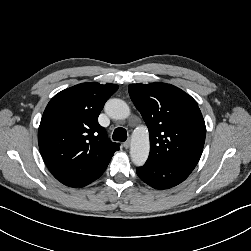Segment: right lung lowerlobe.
<instances>
[{"label":"right lung lower lobe","mask_w":251,"mask_h":251,"mask_svg":"<svg viewBox=\"0 0 251 251\" xmlns=\"http://www.w3.org/2000/svg\"><path fill=\"white\" fill-rule=\"evenodd\" d=\"M102 174H103V173H101L100 176H101ZM100 176H98L97 178H99ZM97 178H96V179H97ZM96 179H94V180H96ZM94 180H92L91 182H93ZM91 182H89L88 184H90ZM88 184L81 185V186H77V187H83V186H86V185H88Z\"/></svg>","instance_id":"98d812e1"}]
</instances>
